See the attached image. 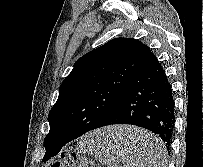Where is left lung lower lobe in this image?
<instances>
[{
    "label": "left lung lower lobe",
    "instance_id": "left-lung-lower-lobe-1",
    "mask_svg": "<svg viewBox=\"0 0 203 167\" xmlns=\"http://www.w3.org/2000/svg\"><path fill=\"white\" fill-rule=\"evenodd\" d=\"M174 122L172 87L163 67L152 54L124 90L113 113L99 127L114 124L140 126L157 134L169 149ZM65 144V141H59L52 145L47 157L55 156ZM116 144L111 139L110 145Z\"/></svg>",
    "mask_w": 203,
    "mask_h": 167
}]
</instances>
